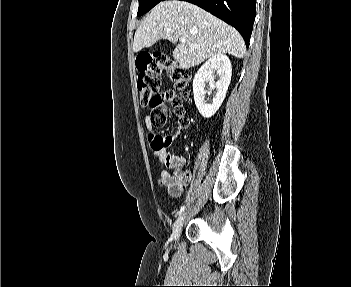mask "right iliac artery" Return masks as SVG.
Returning a JSON list of instances; mask_svg holds the SVG:
<instances>
[{
  "label": "right iliac artery",
  "instance_id": "82829eb1",
  "mask_svg": "<svg viewBox=\"0 0 351 287\" xmlns=\"http://www.w3.org/2000/svg\"><path fill=\"white\" fill-rule=\"evenodd\" d=\"M184 210H185V206H182V207L180 208L178 214H179V215L182 214V212H183Z\"/></svg>",
  "mask_w": 351,
  "mask_h": 287
}]
</instances>
